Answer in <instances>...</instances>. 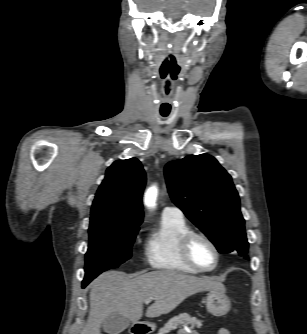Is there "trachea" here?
<instances>
[{"instance_id": "obj_1", "label": "trachea", "mask_w": 307, "mask_h": 334, "mask_svg": "<svg viewBox=\"0 0 307 334\" xmlns=\"http://www.w3.org/2000/svg\"><path fill=\"white\" fill-rule=\"evenodd\" d=\"M163 117H166L167 115H162Z\"/></svg>"}]
</instances>
